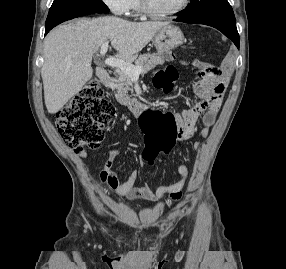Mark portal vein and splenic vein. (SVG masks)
Returning <instances> with one entry per match:
<instances>
[{
  "instance_id": "1",
  "label": "portal vein and splenic vein",
  "mask_w": 286,
  "mask_h": 269,
  "mask_svg": "<svg viewBox=\"0 0 286 269\" xmlns=\"http://www.w3.org/2000/svg\"><path fill=\"white\" fill-rule=\"evenodd\" d=\"M108 50V41L104 42L101 46L100 54L104 56ZM104 63L107 66L115 67L120 69L121 71L128 74L133 80H138L139 75L142 73V69L140 67H136L131 63H128L119 58H107L105 59Z\"/></svg>"
}]
</instances>
